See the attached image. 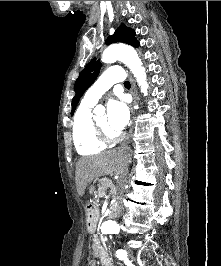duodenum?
I'll list each match as a JSON object with an SVG mask.
<instances>
[{"mask_svg": "<svg viewBox=\"0 0 221 266\" xmlns=\"http://www.w3.org/2000/svg\"><path fill=\"white\" fill-rule=\"evenodd\" d=\"M118 213H119V207H118V205L115 204V205H113L111 207V210L108 212V215L109 216H116V215H118ZM87 225H88V228L89 229H92L93 226H94V219L93 218H90L88 220V222H87Z\"/></svg>", "mask_w": 221, "mask_h": 266, "instance_id": "obj_1", "label": "duodenum"}]
</instances>
